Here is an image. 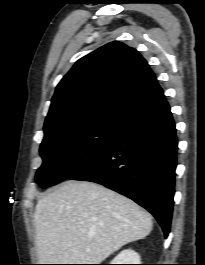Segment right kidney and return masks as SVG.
Instances as JSON below:
<instances>
[{
    "mask_svg": "<svg viewBox=\"0 0 205 265\" xmlns=\"http://www.w3.org/2000/svg\"><path fill=\"white\" fill-rule=\"evenodd\" d=\"M140 256L131 249L121 251L111 264H140Z\"/></svg>",
    "mask_w": 205,
    "mask_h": 265,
    "instance_id": "ca27d5eb",
    "label": "right kidney"
}]
</instances>
